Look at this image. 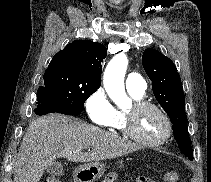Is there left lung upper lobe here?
I'll return each mask as SVG.
<instances>
[{"label": "left lung upper lobe", "mask_w": 211, "mask_h": 182, "mask_svg": "<svg viewBox=\"0 0 211 182\" xmlns=\"http://www.w3.org/2000/svg\"><path fill=\"white\" fill-rule=\"evenodd\" d=\"M142 64L152 81L155 98L173 124L174 138L181 152L193 160L191 140L187 128L185 96L181 78L173 62L155 49H146Z\"/></svg>", "instance_id": "1"}]
</instances>
